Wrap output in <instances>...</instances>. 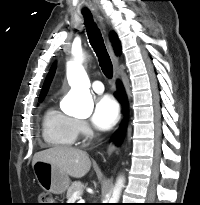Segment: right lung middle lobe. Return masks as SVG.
<instances>
[{
  "instance_id": "right-lung-middle-lobe-1",
  "label": "right lung middle lobe",
  "mask_w": 200,
  "mask_h": 205,
  "mask_svg": "<svg viewBox=\"0 0 200 205\" xmlns=\"http://www.w3.org/2000/svg\"><path fill=\"white\" fill-rule=\"evenodd\" d=\"M44 98H40L39 101H42Z\"/></svg>"
}]
</instances>
